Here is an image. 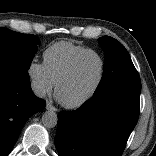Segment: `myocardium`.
Masks as SVG:
<instances>
[{
    "label": "myocardium",
    "mask_w": 156,
    "mask_h": 156,
    "mask_svg": "<svg viewBox=\"0 0 156 156\" xmlns=\"http://www.w3.org/2000/svg\"><path fill=\"white\" fill-rule=\"evenodd\" d=\"M89 54H94L96 55L101 63V71H100V76L99 79L97 81V83L95 84V86L92 88V90L85 95L83 98H81L80 100L73 102V103H66L60 100L58 93H59V89L61 88V86L69 80V78L72 76L78 62L85 56L89 55ZM105 74H106V63L104 60V57L102 56V54L100 52H98L97 50L94 49H87L81 53H79L70 63V65L68 66V68L66 69V71L62 74V76L58 79V81L56 82V86H55V96L58 99V101L65 107L68 109H77L82 107L83 105H85L86 103H88L99 91V89L101 88L104 79H105Z\"/></svg>",
    "instance_id": "1"
}]
</instances>
